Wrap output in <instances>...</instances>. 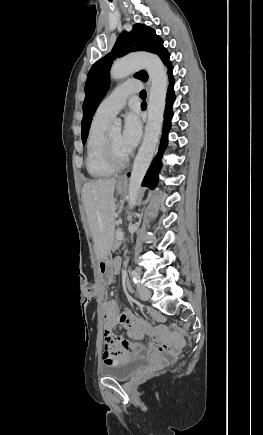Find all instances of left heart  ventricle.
<instances>
[{"label":"left heart ventricle","mask_w":263,"mask_h":435,"mask_svg":"<svg viewBox=\"0 0 263 435\" xmlns=\"http://www.w3.org/2000/svg\"><path fill=\"white\" fill-rule=\"evenodd\" d=\"M121 132L120 131H113L109 133V138L110 141L114 147V150L116 152V154L119 157H123L125 156L127 153L125 152V150L122 147V143H121Z\"/></svg>","instance_id":"left-heart-ventricle-1"}]
</instances>
